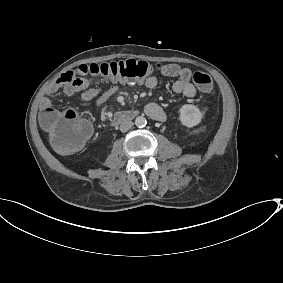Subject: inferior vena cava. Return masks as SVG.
Instances as JSON below:
<instances>
[{"label":"inferior vena cava","mask_w":283,"mask_h":283,"mask_svg":"<svg viewBox=\"0 0 283 283\" xmlns=\"http://www.w3.org/2000/svg\"><path fill=\"white\" fill-rule=\"evenodd\" d=\"M133 125L134 123L130 120L123 121L120 125V131L127 132Z\"/></svg>","instance_id":"1"}]
</instances>
